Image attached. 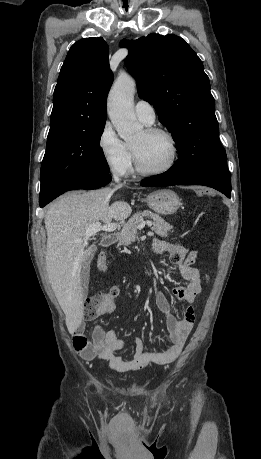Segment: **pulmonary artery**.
<instances>
[{"label":"pulmonary artery","mask_w":261,"mask_h":459,"mask_svg":"<svg viewBox=\"0 0 261 459\" xmlns=\"http://www.w3.org/2000/svg\"><path fill=\"white\" fill-rule=\"evenodd\" d=\"M135 113L138 119L146 125L155 121V110L147 101L139 100L135 105Z\"/></svg>","instance_id":"e3ab8cb5"}]
</instances>
